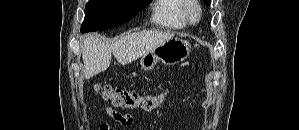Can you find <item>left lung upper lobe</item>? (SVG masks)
Segmentation results:
<instances>
[{
	"label": "left lung upper lobe",
	"instance_id": "1",
	"mask_svg": "<svg viewBox=\"0 0 299 130\" xmlns=\"http://www.w3.org/2000/svg\"><path fill=\"white\" fill-rule=\"evenodd\" d=\"M206 5H210V0H204Z\"/></svg>",
	"mask_w": 299,
	"mask_h": 130
}]
</instances>
